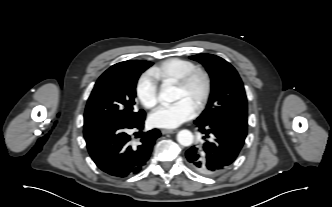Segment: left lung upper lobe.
I'll return each mask as SVG.
<instances>
[{
	"instance_id": "1",
	"label": "left lung upper lobe",
	"mask_w": 332,
	"mask_h": 207,
	"mask_svg": "<svg viewBox=\"0 0 332 207\" xmlns=\"http://www.w3.org/2000/svg\"><path fill=\"white\" fill-rule=\"evenodd\" d=\"M190 58L203 64L211 77L208 104L195 122L211 123L230 117L247 118L244 86L234 67L212 54H198Z\"/></svg>"
}]
</instances>
